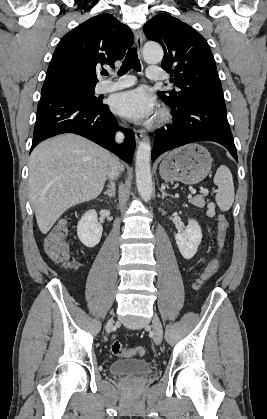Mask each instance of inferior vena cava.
Returning <instances> with one entry per match:
<instances>
[{"label": "inferior vena cava", "mask_w": 267, "mask_h": 419, "mask_svg": "<svg viewBox=\"0 0 267 419\" xmlns=\"http://www.w3.org/2000/svg\"><path fill=\"white\" fill-rule=\"evenodd\" d=\"M123 139H124V135L121 132H118L116 134V142L120 143L123 141ZM120 171H121V166L118 159L115 157H111L110 162H109L108 172H107L108 178L110 180L116 179Z\"/></svg>", "instance_id": "obj_1"}]
</instances>
